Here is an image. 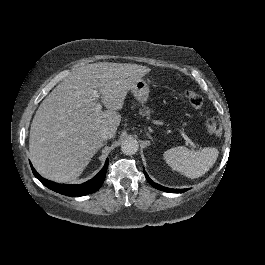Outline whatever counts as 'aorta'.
Wrapping results in <instances>:
<instances>
[{
    "label": "aorta",
    "mask_w": 265,
    "mask_h": 265,
    "mask_svg": "<svg viewBox=\"0 0 265 265\" xmlns=\"http://www.w3.org/2000/svg\"><path fill=\"white\" fill-rule=\"evenodd\" d=\"M139 149V144L137 140L129 138L122 142L121 144V150L126 155H133L135 154Z\"/></svg>",
    "instance_id": "1"
}]
</instances>
